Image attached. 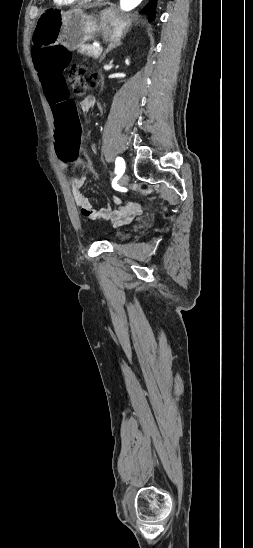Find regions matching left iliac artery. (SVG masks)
Returning a JSON list of instances; mask_svg holds the SVG:
<instances>
[{
	"label": "left iliac artery",
	"instance_id": "44dca946",
	"mask_svg": "<svg viewBox=\"0 0 253 548\" xmlns=\"http://www.w3.org/2000/svg\"><path fill=\"white\" fill-rule=\"evenodd\" d=\"M115 173L122 175L125 171V162L122 157H117L115 161Z\"/></svg>",
	"mask_w": 253,
	"mask_h": 548
}]
</instances>
